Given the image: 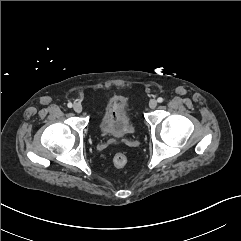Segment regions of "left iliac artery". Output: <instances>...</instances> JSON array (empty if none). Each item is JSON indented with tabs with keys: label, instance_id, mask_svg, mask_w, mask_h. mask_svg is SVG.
Listing matches in <instances>:
<instances>
[{
	"label": "left iliac artery",
	"instance_id": "left-iliac-artery-1",
	"mask_svg": "<svg viewBox=\"0 0 241 241\" xmlns=\"http://www.w3.org/2000/svg\"><path fill=\"white\" fill-rule=\"evenodd\" d=\"M157 102H158V103H162V102H163V98H162V97H159V98L157 99Z\"/></svg>",
	"mask_w": 241,
	"mask_h": 241
}]
</instances>
